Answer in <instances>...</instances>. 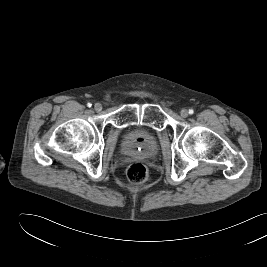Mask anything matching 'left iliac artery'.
Instances as JSON below:
<instances>
[{"mask_svg": "<svg viewBox=\"0 0 267 267\" xmlns=\"http://www.w3.org/2000/svg\"><path fill=\"white\" fill-rule=\"evenodd\" d=\"M194 113V110L193 109H189V114H193Z\"/></svg>", "mask_w": 267, "mask_h": 267, "instance_id": "left-iliac-artery-1", "label": "left iliac artery"}]
</instances>
